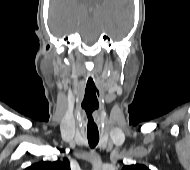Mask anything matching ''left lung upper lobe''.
Returning <instances> with one entry per match:
<instances>
[{
    "instance_id": "left-lung-upper-lobe-1",
    "label": "left lung upper lobe",
    "mask_w": 190,
    "mask_h": 170,
    "mask_svg": "<svg viewBox=\"0 0 190 170\" xmlns=\"http://www.w3.org/2000/svg\"><path fill=\"white\" fill-rule=\"evenodd\" d=\"M122 170H149V168H147L145 165L136 164L124 166Z\"/></svg>"
}]
</instances>
